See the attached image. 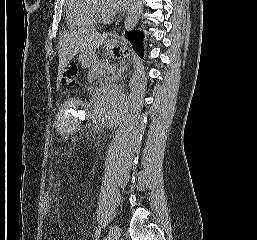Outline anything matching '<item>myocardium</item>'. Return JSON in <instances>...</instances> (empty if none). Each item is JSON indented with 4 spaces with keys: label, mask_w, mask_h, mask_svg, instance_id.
Listing matches in <instances>:
<instances>
[{
    "label": "myocardium",
    "mask_w": 257,
    "mask_h": 240,
    "mask_svg": "<svg viewBox=\"0 0 257 240\" xmlns=\"http://www.w3.org/2000/svg\"><path fill=\"white\" fill-rule=\"evenodd\" d=\"M97 8H103L105 6L104 0H94Z\"/></svg>",
    "instance_id": "myocardium-1"
}]
</instances>
